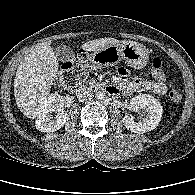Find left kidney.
<instances>
[{
    "instance_id": "5707ae66",
    "label": "left kidney",
    "mask_w": 195,
    "mask_h": 195,
    "mask_svg": "<svg viewBox=\"0 0 195 195\" xmlns=\"http://www.w3.org/2000/svg\"><path fill=\"white\" fill-rule=\"evenodd\" d=\"M130 104L133 111L138 112L143 110L146 112V115L139 121H135L131 114L126 115L123 118V123L128 130L143 134L158 126L163 109L157 99L149 94H139L131 99Z\"/></svg>"
}]
</instances>
